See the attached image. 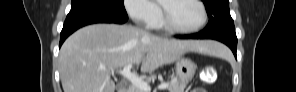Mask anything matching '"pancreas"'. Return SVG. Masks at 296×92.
<instances>
[{"mask_svg": "<svg viewBox=\"0 0 296 92\" xmlns=\"http://www.w3.org/2000/svg\"><path fill=\"white\" fill-rule=\"evenodd\" d=\"M155 79V76H152L146 80V82H150ZM187 83H181L179 80L176 79V77H171V81L168 83L167 90L169 92H184V89L186 88ZM132 92H144L143 90L133 87Z\"/></svg>", "mask_w": 296, "mask_h": 92, "instance_id": "pancreas-1", "label": "pancreas"}]
</instances>
